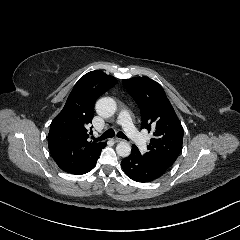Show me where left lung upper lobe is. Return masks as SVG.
<instances>
[{
	"mask_svg": "<svg viewBox=\"0 0 240 240\" xmlns=\"http://www.w3.org/2000/svg\"><path fill=\"white\" fill-rule=\"evenodd\" d=\"M128 93L140 107L141 128L153 134L148 151L141 154L154 165L169 169L177 159L183 143V127L163 88L147 77L124 79Z\"/></svg>",
	"mask_w": 240,
	"mask_h": 240,
	"instance_id": "left-lung-upper-lobe-1",
	"label": "left lung upper lobe"
}]
</instances>
